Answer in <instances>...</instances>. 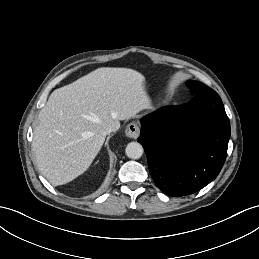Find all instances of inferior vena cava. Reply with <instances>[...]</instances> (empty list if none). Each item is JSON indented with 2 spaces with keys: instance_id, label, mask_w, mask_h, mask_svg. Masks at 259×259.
Returning <instances> with one entry per match:
<instances>
[{
  "instance_id": "obj_1",
  "label": "inferior vena cava",
  "mask_w": 259,
  "mask_h": 259,
  "mask_svg": "<svg viewBox=\"0 0 259 259\" xmlns=\"http://www.w3.org/2000/svg\"><path fill=\"white\" fill-rule=\"evenodd\" d=\"M113 131H115V128L114 127H107V128H105L104 130H103V135H108V134H110L111 132H113Z\"/></svg>"
}]
</instances>
